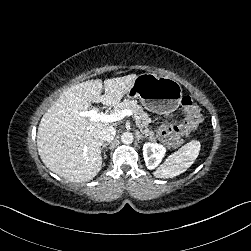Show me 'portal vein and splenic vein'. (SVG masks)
Masks as SVG:
<instances>
[{"label":"portal vein and splenic vein","mask_w":251,"mask_h":251,"mask_svg":"<svg viewBox=\"0 0 251 251\" xmlns=\"http://www.w3.org/2000/svg\"><path fill=\"white\" fill-rule=\"evenodd\" d=\"M83 116L88 117L84 127V149L87 148L88 131L90 129V123L101 122V123H115L119 122L127 116L132 115V112L128 109L114 110L111 113H101L95 110L85 111L81 113Z\"/></svg>","instance_id":"obj_1"}]
</instances>
